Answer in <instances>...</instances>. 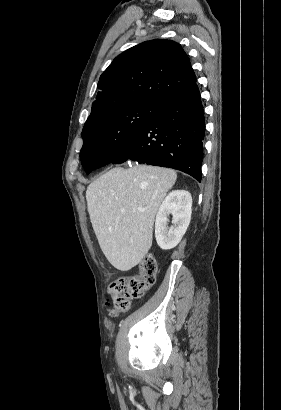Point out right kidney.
I'll use <instances>...</instances> for the list:
<instances>
[{"label":"right kidney","mask_w":281,"mask_h":410,"mask_svg":"<svg viewBox=\"0 0 281 410\" xmlns=\"http://www.w3.org/2000/svg\"><path fill=\"white\" fill-rule=\"evenodd\" d=\"M191 207L192 197L188 191L173 190L166 196L155 221V238L161 249H172L181 241L191 220ZM170 214L174 226L168 228Z\"/></svg>","instance_id":"right-kidney-1"}]
</instances>
